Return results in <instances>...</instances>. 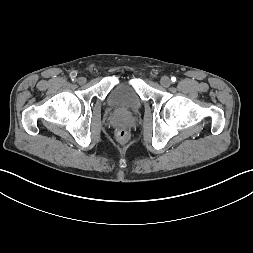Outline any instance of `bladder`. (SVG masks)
I'll list each match as a JSON object with an SVG mask.
<instances>
[{
  "mask_svg": "<svg viewBox=\"0 0 253 253\" xmlns=\"http://www.w3.org/2000/svg\"><path fill=\"white\" fill-rule=\"evenodd\" d=\"M106 105L121 113H132L142 106V99L131 82L114 86L106 96Z\"/></svg>",
  "mask_w": 253,
  "mask_h": 253,
  "instance_id": "obj_1",
  "label": "bladder"
}]
</instances>
